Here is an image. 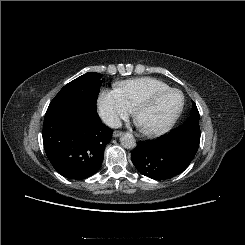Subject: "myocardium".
Segmentation results:
<instances>
[{
	"label": "myocardium",
	"instance_id": "f54148a6",
	"mask_svg": "<svg viewBox=\"0 0 245 245\" xmlns=\"http://www.w3.org/2000/svg\"><path fill=\"white\" fill-rule=\"evenodd\" d=\"M173 92L179 93L181 95L182 100H181L180 107L178 108V110L174 113V115L171 118H169L166 122H164L160 126H158L156 128H152V129L142 128L137 124V117H138V114L142 108L150 105L153 101L157 100L158 98H160L164 95H167L169 93H173ZM184 106H185V97H184V94L182 93V91H180L179 89L168 88V89L156 91V92H153L149 95L144 96L143 98H141L139 101H137L134 104V106L132 107L133 119H134L135 123L137 124L140 132H142L144 135L159 136V135L166 133L167 131H169L174 126L176 121L181 116L183 109H184Z\"/></svg>",
	"mask_w": 245,
	"mask_h": 245
}]
</instances>
